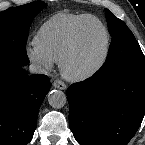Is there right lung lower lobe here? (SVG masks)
Masks as SVG:
<instances>
[{"label":"right lung lower lobe","mask_w":145,"mask_h":145,"mask_svg":"<svg viewBox=\"0 0 145 145\" xmlns=\"http://www.w3.org/2000/svg\"><path fill=\"white\" fill-rule=\"evenodd\" d=\"M50 90L45 75L23 67L0 70V145H26L37 125L38 110Z\"/></svg>","instance_id":"right-lung-lower-lobe-1"}]
</instances>
